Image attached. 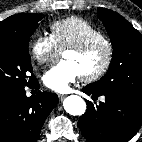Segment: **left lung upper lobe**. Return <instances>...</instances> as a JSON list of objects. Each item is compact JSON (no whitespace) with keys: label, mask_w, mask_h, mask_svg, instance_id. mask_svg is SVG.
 Here are the masks:
<instances>
[{"label":"left lung upper lobe","mask_w":142,"mask_h":142,"mask_svg":"<svg viewBox=\"0 0 142 142\" xmlns=\"http://www.w3.org/2000/svg\"><path fill=\"white\" fill-rule=\"evenodd\" d=\"M113 46V57L105 76L88 86L98 92L128 91L142 95V36L121 15L98 8Z\"/></svg>","instance_id":"left-lung-upper-lobe-1"}]
</instances>
